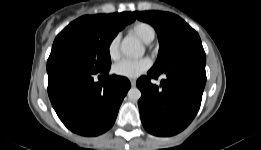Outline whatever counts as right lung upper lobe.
I'll use <instances>...</instances> for the list:
<instances>
[{"label":"right lung upper lobe","mask_w":261,"mask_h":150,"mask_svg":"<svg viewBox=\"0 0 261 150\" xmlns=\"http://www.w3.org/2000/svg\"><path fill=\"white\" fill-rule=\"evenodd\" d=\"M95 17L106 18V19H114V20H123L129 23L135 20V17L131 12H123V13H114V14H99L95 15Z\"/></svg>","instance_id":"1"}]
</instances>
